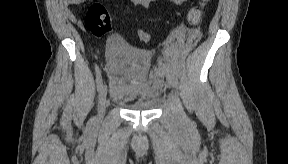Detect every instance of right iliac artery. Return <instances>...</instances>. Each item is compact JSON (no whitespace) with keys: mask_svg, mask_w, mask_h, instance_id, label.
Instances as JSON below:
<instances>
[{"mask_svg":"<svg viewBox=\"0 0 288 164\" xmlns=\"http://www.w3.org/2000/svg\"><path fill=\"white\" fill-rule=\"evenodd\" d=\"M96 70V84H97V90L100 91L102 85H103V80H102V76H101V72L99 70V68L96 66L95 67Z\"/></svg>","mask_w":288,"mask_h":164,"instance_id":"1","label":"right iliac artery"}]
</instances>
